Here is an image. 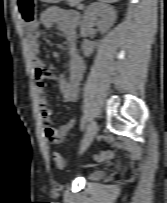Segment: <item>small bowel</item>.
<instances>
[{
  "label": "small bowel",
  "mask_w": 167,
  "mask_h": 203,
  "mask_svg": "<svg viewBox=\"0 0 167 203\" xmlns=\"http://www.w3.org/2000/svg\"><path fill=\"white\" fill-rule=\"evenodd\" d=\"M40 22L44 28H50L57 25L67 40V62L68 75H55L46 65L41 57V44L39 35H33L28 38L27 45L29 54L34 65L36 89L41 94L39 98V108L43 132L45 138L50 143L61 142L75 124L72 118L67 123L54 128L51 125V110L47 98L43 95L45 91V81L55 79L59 84L63 95V101L74 103L78 99L79 85L82 81L85 63L77 50V28L80 23V16L73 10H67L60 7H50L40 16Z\"/></svg>",
  "instance_id": "c3829d8e"
}]
</instances>
